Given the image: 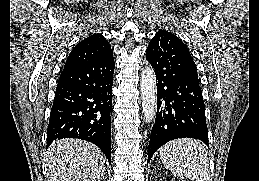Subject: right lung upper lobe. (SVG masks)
Segmentation results:
<instances>
[{
    "mask_svg": "<svg viewBox=\"0 0 259 181\" xmlns=\"http://www.w3.org/2000/svg\"><path fill=\"white\" fill-rule=\"evenodd\" d=\"M112 52L110 44L102 34H93L73 48L66 60L64 69L95 61Z\"/></svg>",
    "mask_w": 259,
    "mask_h": 181,
    "instance_id": "1",
    "label": "right lung upper lobe"
}]
</instances>
